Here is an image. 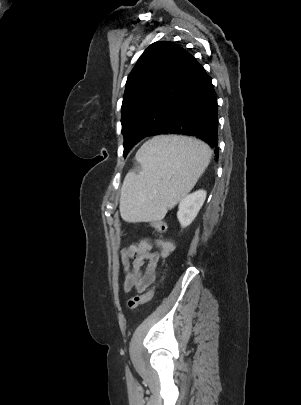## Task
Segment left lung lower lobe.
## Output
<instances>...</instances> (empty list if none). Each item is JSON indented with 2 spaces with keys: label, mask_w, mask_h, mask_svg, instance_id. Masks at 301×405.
I'll list each match as a JSON object with an SVG mask.
<instances>
[{
  "label": "left lung lower lobe",
  "mask_w": 301,
  "mask_h": 405,
  "mask_svg": "<svg viewBox=\"0 0 301 405\" xmlns=\"http://www.w3.org/2000/svg\"><path fill=\"white\" fill-rule=\"evenodd\" d=\"M218 105L211 78L194 58L188 77L154 135H187L206 142L218 155ZM139 141L135 138L133 146Z\"/></svg>",
  "instance_id": "left-lung-lower-lobe-1"
}]
</instances>
